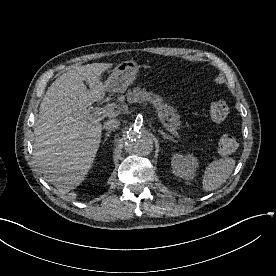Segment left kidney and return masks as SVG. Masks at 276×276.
I'll return each mask as SVG.
<instances>
[{"label": "left kidney", "instance_id": "1", "mask_svg": "<svg viewBox=\"0 0 276 276\" xmlns=\"http://www.w3.org/2000/svg\"><path fill=\"white\" fill-rule=\"evenodd\" d=\"M171 166L174 175L189 180L195 176L198 160L193 155L183 156L177 153L172 156Z\"/></svg>", "mask_w": 276, "mask_h": 276}]
</instances>
